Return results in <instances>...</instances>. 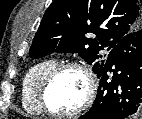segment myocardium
Listing matches in <instances>:
<instances>
[{
  "label": "myocardium",
  "instance_id": "f54148a6",
  "mask_svg": "<svg viewBox=\"0 0 142 119\" xmlns=\"http://www.w3.org/2000/svg\"><path fill=\"white\" fill-rule=\"evenodd\" d=\"M67 69H76L80 71L86 82V91L82 103L76 109L68 112H59L50 107L47 96L49 88L57 77V75ZM96 89L97 84L95 77L87 65L76 61H67L59 63L56 64L54 68L49 71V73L45 76L41 83L38 95L39 104L43 111L49 115L56 117H74L81 114L90 107L95 98Z\"/></svg>",
  "mask_w": 142,
  "mask_h": 119
}]
</instances>
